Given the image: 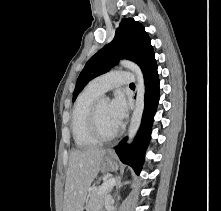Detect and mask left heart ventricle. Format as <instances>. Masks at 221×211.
Masks as SVG:
<instances>
[{
	"mask_svg": "<svg viewBox=\"0 0 221 211\" xmlns=\"http://www.w3.org/2000/svg\"><path fill=\"white\" fill-rule=\"evenodd\" d=\"M98 119L101 131L110 135L118 130V127L115 125L109 111V102L102 100L99 105Z\"/></svg>",
	"mask_w": 221,
	"mask_h": 211,
	"instance_id": "1",
	"label": "left heart ventricle"
}]
</instances>
